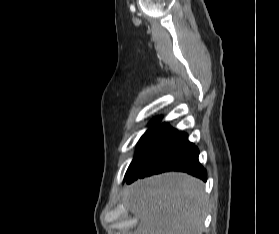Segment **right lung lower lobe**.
<instances>
[{
	"instance_id": "obj_1",
	"label": "right lung lower lobe",
	"mask_w": 279,
	"mask_h": 234,
	"mask_svg": "<svg viewBox=\"0 0 279 234\" xmlns=\"http://www.w3.org/2000/svg\"><path fill=\"white\" fill-rule=\"evenodd\" d=\"M199 150L187 139V134L161 124L134 160L127 176L130 184L165 171H183L206 181V170L198 161Z\"/></svg>"
}]
</instances>
